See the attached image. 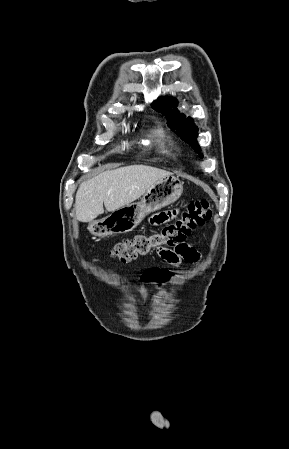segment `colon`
<instances>
[{
	"label": "colon",
	"instance_id": "1",
	"mask_svg": "<svg viewBox=\"0 0 289 449\" xmlns=\"http://www.w3.org/2000/svg\"><path fill=\"white\" fill-rule=\"evenodd\" d=\"M211 216L207 200L190 202L174 222L164 226L159 232L137 235L133 239L119 242L112 247L110 254L120 262L127 263L155 249L179 246L192 231L209 221ZM176 276L170 268H146L142 273V281L146 285H156L160 280H173Z\"/></svg>",
	"mask_w": 289,
	"mask_h": 449
}]
</instances>
